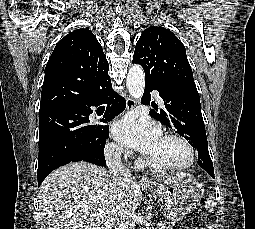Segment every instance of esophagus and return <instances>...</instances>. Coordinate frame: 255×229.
Returning <instances> with one entry per match:
<instances>
[{"label":"esophagus","mask_w":255,"mask_h":229,"mask_svg":"<svg viewBox=\"0 0 255 229\" xmlns=\"http://www.w3.org/2000/svg\"><path fill=\"white\" fill-rule=\"evenodd\" d=\"M135 105H136V101L133 98H131V97H127V99H126V107H127V109L130 110ZM140 183L142 185H145V186H152L153 185V183L149 179H147L145 177L140 178Z\"/></svg>","instance_id":"obj_1"}]
</instances>
